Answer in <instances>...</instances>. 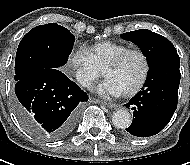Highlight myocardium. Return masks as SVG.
I'll return each mask as SVG.
<instances>
[{"label": "myocardium", "mask_w": 190, "mask_h": 165, "mask_svg": "<svg viewBox=\"0 0 190 165\" xmlns=\"http://www.w3.org/2000/svg\"><path fill=\"white\" fill-rule=\"evenodd\" d=\"M131 54H137L141 57L143 61V73L139 81L132 88L122 92V94L125 96L136 94L146 83L150 72V61L147 54L141 49H136V48L128 49L117 55L115 58H113L103 69V74L105 75L107 70L118 67Z\"/></svg>", "instance_id": "myocardium-1"}]
</instances>
